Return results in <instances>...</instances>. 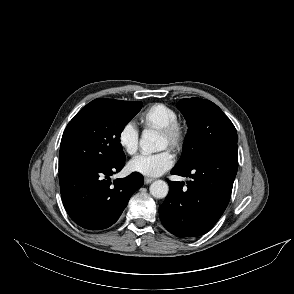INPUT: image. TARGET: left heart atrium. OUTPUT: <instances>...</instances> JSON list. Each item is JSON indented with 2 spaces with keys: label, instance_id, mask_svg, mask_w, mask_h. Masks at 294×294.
<instances>
[{
  "label": "left heart atrium",
  "instance_id": "39dd6f15",
  "mask_svg": "<svg viewBox=\"0 0 294 294\" xmlns=\"http://www.w3.org/2000/svg\"><path fill=\"white\" fill-rule=\"evenodd\" d=\"M174 163V156L170 150L156 154H141L134 157L128 164L132 172L145 176L156 177L170 169Z\"/></svg>",
  "mask_w": 294,
  "mask_h": 294
}]
</instances>
